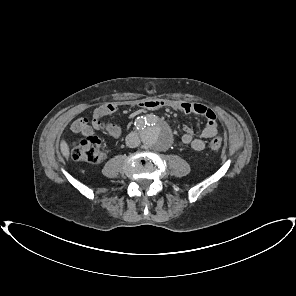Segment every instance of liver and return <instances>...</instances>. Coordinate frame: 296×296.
I'll return each mask as SVG.
<instances>
[{"mask_svg":"<svg viewBox=\"0 0 296 296\" xmlns=\"http://www.w3.org/2000/svg\"><path fill=\"white\" fill-rule=\"evenodd\" d=\"M60 150H61L62 155L68 160L69 155H70V151H69L68 144L64 140H62L60 143Z\"/></svg>","mask_w":296,"mask_h":296,"instance_id":"liver-1","label":"liver"}]
</instances>
